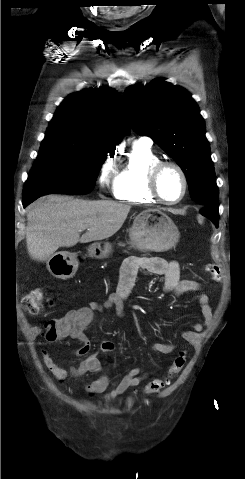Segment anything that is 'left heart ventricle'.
Segmentation results:
<instances>
[{
    "instance_id": "left-heart-ventricle-1",
    "label": "left heart ventricle",
    "mask_w": 245,
    "mask_h": 479,
    "mask_svg": "<svg viewBox=\"0 0 245 479\" xmlns=\"http://www.w3.org/2000/svg\"><path fill=\"white\" fill-rule=\"evenodd\" d=\"M159 188L166 200L174 201L182 194V181L179 174L172 168L166 169L160 178Z\"/></svg>"
}]
</instances>
